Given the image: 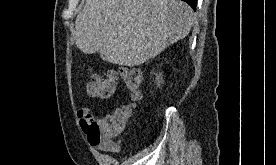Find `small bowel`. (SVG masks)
<instances>
[{"label": "small bowel", "instance_id": "c3829d8e", "mask_svg": "<svg viewBox=\"0 0 276 165\" xmlns=\"http://www.w3.org/2000/svg\"><path fill=\"white\" fill-rule=\"evenodd\" d=\"M87 114H91V109L90 108H83V109L79 110V112H78V115L81 119ZM97 146L101 150H112V149H114L108 144H100V145H97Z\"/></svg>", "mask_w": 276, "mask_h": 165}]
</instances>
